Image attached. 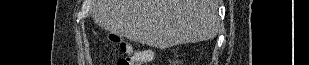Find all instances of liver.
Returning a JSON list of instances; mask_svg holds the SVG:
<instances>
[{"mask_svg": "<svg viewBox=\"0 0 309 65\" xmlns=\"http://www.w3.org/2000/svg\"><path fill=\"white\" fill-rule=\"evenodd\" d=\"M102 29L159 49L214 38L218 0H92Z\"/></svg>", "mask_w": 309, "mask_h": 65, "instance_id": "obj_1", "label": "liver"}]
</instances>
